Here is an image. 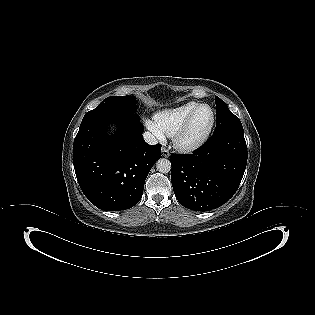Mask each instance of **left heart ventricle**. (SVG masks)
I'll list each match as a JSON object with an SVG mask.
<instances>
[{
  "label": "left heart ventricle",
  "mask_w": 315,
  "mask_h": 315,
  "mask_svg": "<svg viewBox=\"0 0 315 315\" xmlns=\"http://www.w3.org/2000/svg\"><path fill=\"white\" fill-rule=\"evenodd\" d=\"M212 114L209 108L200 109L195 115L186 135L184 142H192L200 138L210 125Z\"/></svg>",
  "instance_id": "left-heart-ventricle-1"
}]
</instances>
